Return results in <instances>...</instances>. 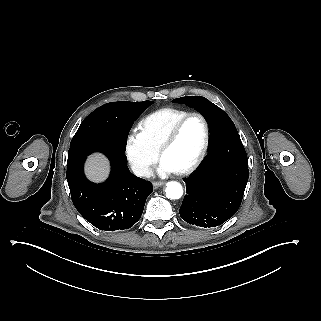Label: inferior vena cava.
I'll return each instance as SVG.
<instances>
[{
	"label": "inferior vena cava",
	"instance_id": "inferior-vena-cava-1",
	"mask_svg": "<svg viewBox=\"0 0 321 321\" xmlns=\"http://www.w3.org/2000/svg\"><path fill=\"white\" fill-rule=\"evenodd\" d=\"M133 173L138 177H151L153 176V171L146 165L134 164L131 166Z\"/></svg>",
	"mask_w": 321,
	"mask_h": 321
}]
</instances>
